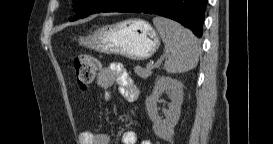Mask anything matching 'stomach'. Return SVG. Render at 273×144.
<instances>
[{
  "instance_id": "obj_1",
  "label": "stomach",
  "mask_w": 273,
  "mask_h": 144,
  "mask_svg": "<svg viewBox=\"0 0 273 144\" xmlns=\"http://www.w3.org/2000/svg\"><path fill=\"white\" fill-rule=\"evenodd\" d=\"M80 43L104 54H117L132 60L151 57L160 46V39L149 23L141 19H128L105 25Z\"/></svg>"
}]
</instances>
